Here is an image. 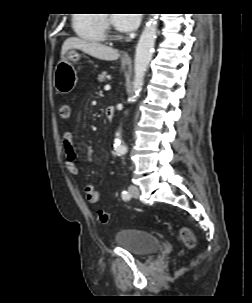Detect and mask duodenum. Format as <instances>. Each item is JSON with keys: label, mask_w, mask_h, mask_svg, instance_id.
Returning <instances> with one entry per match:
<instances>
[{"label": "duodenum", "mask_w": 252, "mask_h": 303, "mask_svg": "<svg viewBox=\"0 0 252 303\" xmlns=\"http://www.w3.org/2000/svg\"><path fill=\"white\" fill-rule=\"evenodd\" d=\"M105 115L108 121L111 120L114 116V108L112 106L107 107L105 111Z\"/></svg>", "instance_id": "1"}]
</instances>
